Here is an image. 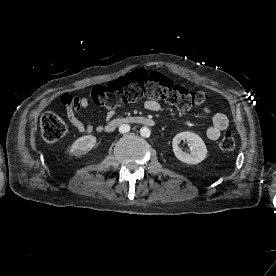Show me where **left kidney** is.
I'll return each mask as SVG.
<instances>
[{
    "mask_svg": "<svg viewBox=\"0 0 276 276\" xmlns=\"http://www.w3.org/2000/svg\"><path fill=\"white\" fill-rule=\"evenodd\" d=\"M181 141H187L191 149V153H186L181 150L178 144ZM173 152L176 158L187 164H198L202 162L207 155V148L202 138L193 132L178 133L172 141Z\"/></svg>",
    "mask_w": 276,
    "mask_h": 276,
    "instance_id": "5707ae66",
    "label": "left kidney"
}]
</instances>
